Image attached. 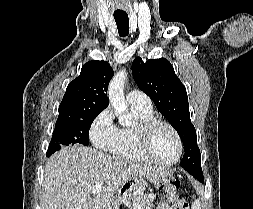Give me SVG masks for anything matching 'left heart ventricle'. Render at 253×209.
I'll list each match as a JSON object with an SVG mask.
<instances>
[{
	"label": "left heart ventricle",
	"instance_id": "obj_1",
	"mask_svg": "<svg viewBox=\"0 0 253 209\" xmlns=\"http://www.w3.org/2000/svg\"><path fill=\"white\" fill-rule=\"evenodd\" d=\"M150 150L159 160L170 162L177 155V143L171 130L163 125L156 126L151 135Z\"/></svg>",
	"mask_w": 253,
	"mask_h": 209
}]
</instances>
